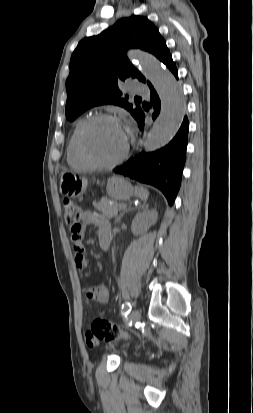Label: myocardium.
<instances>
[{"mask_svg":"<svg viewBox=\"0 0 253 413\" xmlns=\"http://www.w3.org/2000/svg\"><path fill=\"white\" fill-rule=\"evenodd\" d=\"M99 121H111V122H116L120 124V121L117 117L110 115V114H105V113H100V114H95L88 119L84 121V123L81 125L78 135H77V148L79 151V154L83 158V160L88 163L91 167L94 168H113L120 163H122L128 156L129 153V142L128 139L126 138V143L123 152L119 157L112 161H99L93 158L90 153L88 152L85 144V136L89 128L99 122Z\"/></svg>","mask_w":253,"mask_h":413,"instance_id":"1","label":"myocardium"}]
</instances>
